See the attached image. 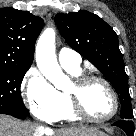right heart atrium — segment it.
Masks as SVG:
<instances>
[{"mask_svg":"<svg viewBox=\"0 0 136 136\" xmlns=\"http://www.w3.org/2000/svg\"><path fill=\"white\" fill-rule=\"evenodd\" d=\"M21 90L24 102L34 116L45 121L54 118L60 108L58 92L36 68L27 71Z\"/></svg>","mask_w":136,"mask_h":136,"instance_id":"d8ad5b80","label":"right heart atrium"}]
</instances>
